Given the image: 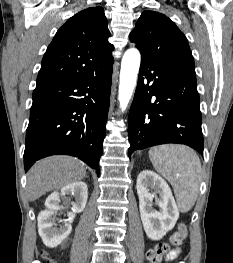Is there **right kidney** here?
<instances>
[{
    "instance_id": "ca27d5eb",
    "label": "right kidney",
    "mask_w": 233,
    "mask_h": 263,
    "mask_svg": "<svg viewBox=\"0 0 233 263\" xmlns=\"http://www.w3.org/2000/svg\"><path fill=\"white\" fill-rule=\"evenodd\" d=\"M74 197L71 212L67 213L68 219H60L58 223L63 226L57 227L55 216L62 207L59 205L60 199L68 201ZM88 199V188L85 182L77 181L64 186L60 192L51 193L45 201L46 209L38 215V231L43 243L49 248L60 245L70 234L72 222L75 214L84 210Z\"/></svg>"
}]
</instances>
